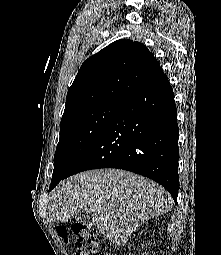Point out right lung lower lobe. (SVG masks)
I'll return each mask as SVG.
<instances>
[{
    "instance_id": "obj_1",
    "label": "right lung lower lobe",
    "mask_w": 221,
    "mask_h": 255,
    "mask_svg": "<svg viewBox=\"0 0 221 255\" xmlns=\"http://www.w3.org/2000/svg\"><path fill=\"white\" fill-rule=\"evenodd\" d=\"M178 135L173 89L162 74L119 105L63 179L90 169L119 168L158 182L176 202Z\"/></svg>"
}]
</instances>
